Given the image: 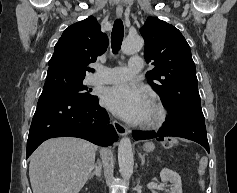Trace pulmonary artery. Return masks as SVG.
Listing matches in <instances>:
<instances>
[{
	"instance_id": "1",
	"label": "pulmonary artery",
	"mask_w": 237,
	"mask_h": 193,
	"mask_svg": "<svg viewBox=\"0 0 237 193\" xmlns=\"http://www.w3.org/2000/svg\"><path fill=\"white\" fill-rule=\"evenodd\" d=\"M143 60L140 57H133L129 60L128 66L104 67L96 66L97 72L91 77L92 84L122 83L135 73L141 71Z\"/></svg>"
}]
</instances>
